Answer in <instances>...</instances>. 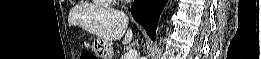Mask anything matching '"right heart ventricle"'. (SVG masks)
I'll use <instances>...</instances> for the list:
<instances>
[{
    "instance_id": "right-heart-ventricle-1",
    "label": "right heart ventricle",
    "mask_w": 261,
    "mask_h": 59,
    "mask_svg": "<svg viewBox=\"0 0 261 59\" xmlns=\"http://www.w3.org/2000/svg\"><path fill=\"white\" fill-rule=\"evenodd\" d=\"M102 3L109 4L112 2V0H101Z\"/></svg>"
}]
</instances>
